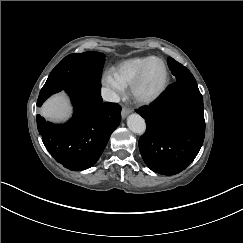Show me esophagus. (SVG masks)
Instances as JSON below:
<instances>
[{
	"label": "esophagus",
	"mask_w": 243,
	"mask_h": 243,
	"mask_svg": "<svg viewBox=\"0 0 243 243\" xmlns=\"http://www.w3.org/2000/svg\"><path fill=\"white\" fill-rule=\"evenodd\" d=\"M131 112V109L128 107H123L121 111V116L124 119L129 113Z\"/></svg>",
	"instance_id": "esophagus-1"
}]
</instances>
